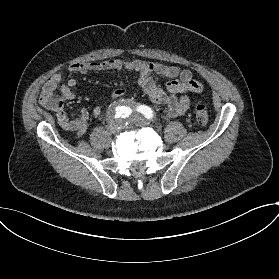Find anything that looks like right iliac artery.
Here are the masks:
<instances>
[{
    "label": "right iliac artery",
    "mask_w": 279,
    "mask_h": 279,
    "mask_svg": "<svg viewBox=\"0 0 279 279\" xmlns=\"http://www.w3.org/2000/svg\"><path fill=\"white\" fill-rule=\"evenodd\" d=\"M129 115V110L125 106L114 107L110 111V116L114 120L125 119Z\"/></svg>",
    "instance_id": "82829eb1"
}]
</instances>
